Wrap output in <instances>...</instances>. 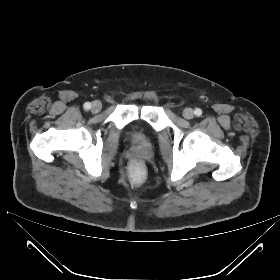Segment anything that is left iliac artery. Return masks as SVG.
I'll return each mask as SVG.
<instances>
[{
    "mask_svg": "<svg viewBox=\"0 0 280 280\" xmlns=\"http://www.w3.org/2000/svg\"><path fill=\"white\" fill-rule=\"evenodd\" d=\"M194 113H195L196 116H200L202 114V110L199 109V108H196Z\"/></svg>",
    "mask_w": 280,
    "mask_h": 280,
    "instance_id": "1",
    "label": "left iliac artery"
}]
</instances>
